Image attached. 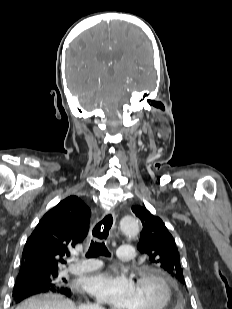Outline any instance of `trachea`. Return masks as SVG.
<instances>
[{"label": "trachea", "mask_w": 232, "mask_h": 309, "mask_svg": "<svg viewBox=\"0 0 232 309\" xmlns=\"http://www.w3.org/2000/svg\"><path fill=\"white\" fill-rule=\"evenodd\" d=\"M98 255H103V256H111L110 252L108 251L107 247L105 246L104 243H98L91 241L90 247L88 249V252L86 253V257H96Z\"/></svg>", "instance_id": "trachea-1"}]
</instances>
